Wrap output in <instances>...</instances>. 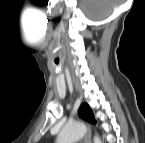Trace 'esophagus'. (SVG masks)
I'll use <instances>...</instances> for the list:
<instances>
[{
  "label": "esophagus",
  "mask_w": 145,
  "mask_h": 143,
  "mask_svg": "<svg viewBox=\"0 0 145 143\" xmlns=\"http://www.w3.org/2000/svg\"><path fill=\"white\" fill-rule=\"evenodd\" d=\"M85 143H91V131L88 130L86 136H85Z\"/></svg>",
  "instance_id": "1"
}]
</instances>
